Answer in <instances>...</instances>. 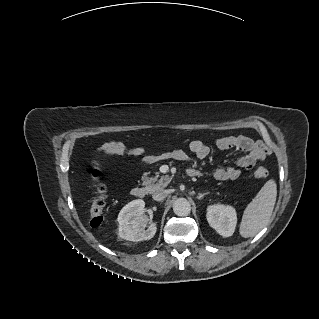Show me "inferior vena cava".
<instances>
[{
	"instance_id": "602c4592",
	"label": "inferior vena cava",
	"mask_w": 319,
	"mask_h": 319,
	"mask_svg": "<svg viewBox=\"0 0 319 319\" xmlns=\"http://www.w3.org/2000/svg\"><path fill=\"white\" fill-rule=\"evenodd\" d=\"M168 195V192L166 190H157L153 193L152 198L155 201H162L164 200Z\"/></svg>"
}]
</instances>
